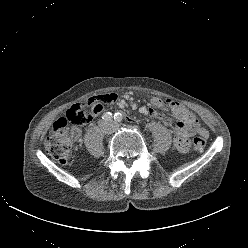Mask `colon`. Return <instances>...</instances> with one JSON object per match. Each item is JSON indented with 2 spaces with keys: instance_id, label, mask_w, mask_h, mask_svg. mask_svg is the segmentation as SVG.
Instances as JSON below:
<instances>
[{
  "instance_id": "5ec220e1",
  "label": "colon",
  "mask_w": 248,
  "mask_h": 248,
  "mask_svg": "<svg viewBox=\"0 0 248 248\" xmlns=\"http://www.w3.org/2000/svg\"><path fill=\"white\" fill-rule=\"evenodd\" d=\"M114 96L105 94L90 97L83 102L72 105L66 112L65 117L57 119L49 136L46 138L45 147L48 153L60 164H66L73 151L74 142L78 136V130L88 125L101 104H112ZM207 132L198 127L193 138V149L203 151L206 145Z\"/></svg>"
}]
</instances>
